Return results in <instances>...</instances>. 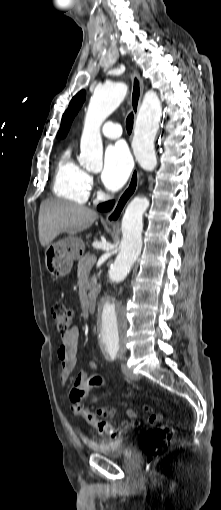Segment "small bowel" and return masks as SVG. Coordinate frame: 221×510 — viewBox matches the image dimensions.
Here are the masks:
<instances>
[{
	"instance_id": "obj_1",
	"label": "small bowel",
	"mask_w": 221,
	"mask_h": 510,
	"mask_svg": "<svg viewBox=\"0 0 221 510\" xmlns=\"http://www.w3.org/2000/svg\"><path fill=\"white\" fill-rule=\"evenodd\" d=\"M78 340H79V329L77 327L71 328L67 333L61 337V345L57 350V358L59 361V376L62 384H66L76 363L77 352H78ZM88 369L90 371L97 370V364L93 359H89L87 362ZM90 376L86 371H82L78 374L75 382L72 385L70 393V399L72 401L71 411L76 416L84 417L85 407L80 403L83 396L80 392L84 391L85 395L92 389L88 385ZM145 410L151 411L148 406L144 407ZM127 414L130 418L136 419L137 413L129 408ZM132 428V424L125 423L119 428H114L109 422H106L105 427L100 430L101 433L108 435L110 439H118L126 434Z\"/></svg>"
}]
</instances>
